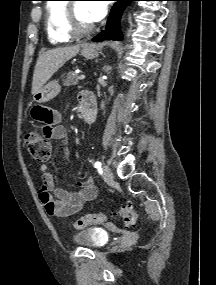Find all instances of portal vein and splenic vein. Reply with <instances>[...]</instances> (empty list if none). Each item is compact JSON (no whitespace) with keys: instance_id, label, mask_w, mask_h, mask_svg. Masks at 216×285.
<instances>
[{"instance_id":"18ae733b","label":"portal vein and splenic vein","mask_w":216,"mask_h":285,"mask_svg":"<svg viewBox=\"0 0 216 285\" xmlns=\"http://www.w3.org/2000/svg\"><path fill=\"white\" fill-rule=\"evenodd\" d=\"M85 77H86V76H85L84 74H82V75L79 76V80H84Z\"/></svg>"}]
</instances>
